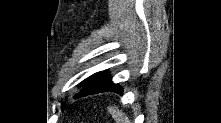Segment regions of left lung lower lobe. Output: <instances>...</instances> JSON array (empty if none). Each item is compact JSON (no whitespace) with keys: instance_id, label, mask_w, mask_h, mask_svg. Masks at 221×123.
I'll return each mask as SVG.
<instances>
[{"instance_id":"0a47b994","label":"left lung lower lobe","mask_w":221,"mask_h":123,"mask_svg":"<svg viewBox=\"0 0 221 123\" xmlns=\"http://www.w3.org/2000/svg\"><path fill=\"white\" fill-rule=\"evenodd\" d=\"M93 78V77H92ZM88 84L83 88V90L76 94L74 98H78L81 96H87L94 93H100L105 91H116L120 92L122 91V87L118 84H114L111 81V77L108 74H105L104 72L98 73L94 76V80L89 82Z\"/></svg>"}]
</instances>
